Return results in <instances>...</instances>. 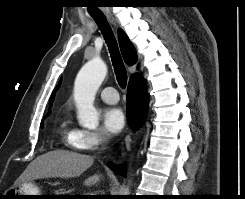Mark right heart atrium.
Segmentation results:
<instances>
[{
	"mask_svg": "<svg viewBox=\"0 0 245 199\" xmlns=\"http://www.w3.org/2000/svg\"><path fill=\"white\" fill-rule=\"evenodd\" d=\"M108 134L102 129L79 130L78 145L82 150H95L107 143Z\"/></svg>",
	"mask_w": 245,
	"mask_h": 199,
	"instance_id": "right-heart-atrium-1",
	"label": "right heart atrium"
}]
</instances>
